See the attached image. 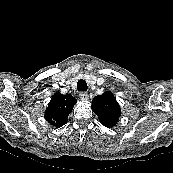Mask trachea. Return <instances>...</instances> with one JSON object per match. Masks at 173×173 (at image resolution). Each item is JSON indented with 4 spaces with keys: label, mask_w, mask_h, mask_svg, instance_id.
Instances as JSON below:
<instances>
[{
    "label": "trachea",
    "mask_w": 173,
    "mask_h": 173,
    "mask_svg": "<svg viewBox=\"0 0 173 173\" xmlns=\"http://www.w3.org/2000/svg\"><path fill=\"white\" fill-rule=\"evenodd\" d=\"M87 88H88V87H87V83H86L85 80L80 79V80L77 82V89H78V91L83 92V91H86Z\"/></svg>",
    "instance_id": "1"
}]
</instances>
